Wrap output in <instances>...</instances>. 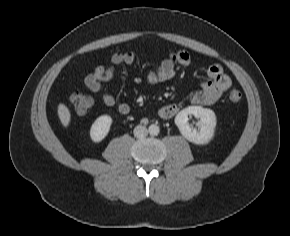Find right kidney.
<instances>
[{"label":"right kidney","mask_w":290,"mask_h":236,"mask_svg":"<svg viewBox=\"0 0 290 236\" xmlns=\"http://www.w3.org/2000/svg\"><path fill=\"white\" fill-rule=\"evenodd\" d=\"M112 118L109 115L98 117L90 128V137L94 142L102 141L109 133Z\"/></svg>","instance_id":"obj_1"}]
</instances>
